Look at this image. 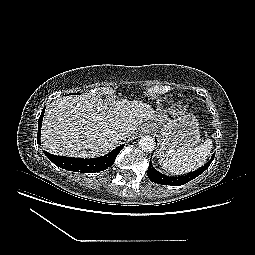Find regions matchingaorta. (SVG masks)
Returning <instances> with one entry per match:
<instances>
[{
  "instance_id": "1",
  "label": "aorta",
  "mask_w": 255,
  "mask_h": 255,
  "mask_svg": "<svg viewBox=\"0 0 255 255\" xmlns=\"http://www.w3.org/2000/svg\"><path fill=\"white\" fill-rule=\"evenodd\" d=\"M138 143H139V147L144 152H151L155 148V140L150 136L141 137Z\"/></svg>"
}]
</instances>
